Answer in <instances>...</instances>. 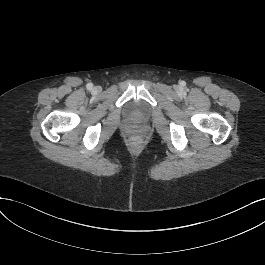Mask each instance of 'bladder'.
Masks as SVG:
<instances>
[{
  "label": "bladder",
  "instance_id": "bladder-1",
  "mask_svg": "<svg viewBox=\"0 0 265 265\" xmlns=\"http://www.w3.org/2000/svg\"><path fill=\"white\" fill-rule=\"evenodd\" d=\"M130 113L134 118H142L146 116V111L144 107L140 104L133 105L130 108Z\"/></svg>",
  "mask_w": 265,
  "mask_h": 265
}]
</instances>
